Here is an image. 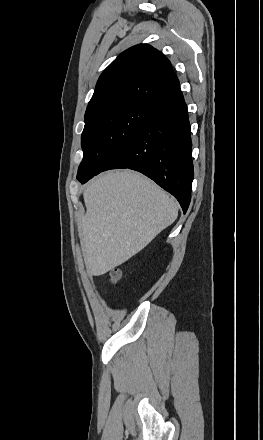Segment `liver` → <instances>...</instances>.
Listing matches in <instances>:
<instances>
[{"label": "liver", "mask_w": 263, "mask_h": 440, "mask_svg": "<svg viewBox=\"0 0 263 440\" xmlns=\"http://www.w3.org/2000/svg\"><path fill=\"white\" fill-rule=\"evenodd\" d=\"M86 214L80 220L84 262L104 275L146 247L178 216L175 200L140 173L109 171L85 188Z\"/></svg>", "instance_id": "liver-1"}]
</instances>
